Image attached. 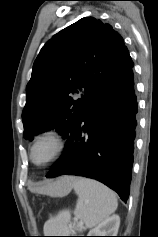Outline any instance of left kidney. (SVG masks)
Wrapping results in <instances>:
<instances>
[{"instance_id":"obj_1","label":"left kidney","mask_w":158,"mask_h":237,"mask_svg":"<svg viewBox=\"0 0 158 237\" xmlns=\"http://www.w3.org/2000/svg\"><path fill=\"white\" fill-rule=\"evenodd\" d=\"M119 226L120 217L114 214L90 230L87 236H117Z\"/></svg>"}]
</instances>
